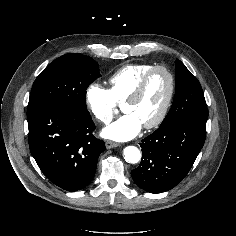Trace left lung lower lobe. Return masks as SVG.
Masks as SVG:
<instances>
[{
  "mask_svg": "<svg viewBox=\"0 0 236 236\" xmlns=\"http://www.w3.org/2000/svg\"><path fill=\"white\" fill-rule=\"evenodd\" d=\"M206 138V121L181 119L160 126L144 138L142 160L131 176L141 189L168 191L179 184L195 162Z\"/></svg>",
  "mask_w": 236,
  "mask_h": 236,
  "instance_id": "left-lung-lower-lobe-1",
  "label": "left lung lower lobe"
}]
</instances>
